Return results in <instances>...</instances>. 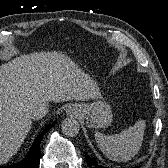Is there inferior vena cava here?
I'll return each instance as SVG.
<instances>
[{
    "mask_svg": "<svg viewBox=\"0 0 168 168\" xmlns=\"http://www.w3.org/2000/svg\"><path fill=\"white\" fill-rule=\"evenodd\" d=\"M48 112H49L48 105L40 104L38 106H35L32 110H30L29 117L33 120H37L46 116Z\"/></svg>",
    "mask_w": 168,
    "mask_h": 168,
    "instance_id": "1",
    "label": "inferior vena cava"
}]
</instances>
